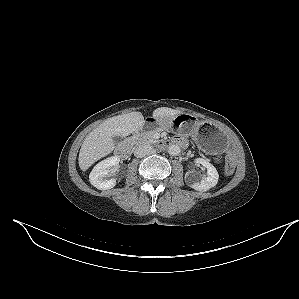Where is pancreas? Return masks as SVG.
<instances>
[{"label": "pancreas", "instance_id": "cf45deb5", "mask_svg": "<svg viewBox=\"0 0 299 299\" xmlns=\"http://www.w3.org/2000/svg\"><path fill=\"white\" fill-rule=\"evenodd\" d=\"M159 131L160 130L157 129L142 134H134L132 137L129 138V142L132 143L133 145L155 143L156 140L154 139L153 135L155 132H159Z\"/></svg>", "mask_w": 299, "mask_h": 299}]
</instances>
